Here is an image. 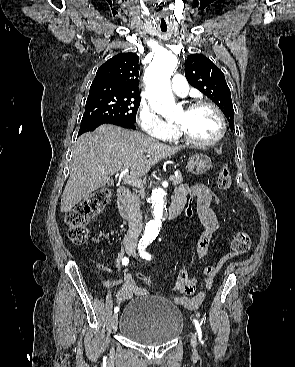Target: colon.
<instances>
[{"mask_svg":"<svg viewBox=\"0 0 295 367\" xmlns=\"http://www.w3.org/2000/svg\"><path fill=\"white\" fill-rule=\"evenodd\" d=\"M217 187L220 190H227L231 187V175L226 166H223L217 175ZM221 195H215L211 202L214 206L222 205ZM187 204L183 211L189 216L194 211L196 196L189 195ZM110 200V191L107 189H98L87 196L76 207L67 212L65 221L68 226V236L70 240L78 245L84 244L88 239L89 223L106 207ZM251 246L250 237L244 231H238L234 234L232 240V252L224 256L218 266L222 268L229 260L234 257L242 256L248 252ZM140 280L149 285L151 277L146 274L139 275Z\"/></svg>","mask_w":295,"mask_h":367,"instance_id":"obj_1","label":"colon"}]
</instances>
